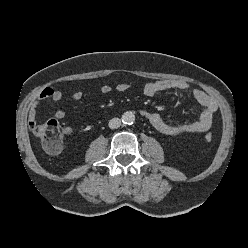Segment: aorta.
I'll return each instance as SVG.
<instances>
[{"label":"aorta","mask_w":248,"mask_h":248,"mask_svg":"<svg viewBox=\"0 0 248 248\" xmlns=\"http://www.w3.org/2000/svg\"><path fill=\"white\" fill-rule=\"evenodd\" d=\"M134 121H135V115L132 112L127 111V112L123 113L122 122L124 124L131 125L134 123Z\"/></svg>","instance_id":"aorta-1"}]
</instances>
